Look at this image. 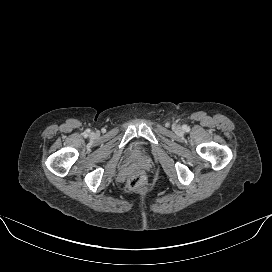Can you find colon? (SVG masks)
I'll return each mask as SVG.
<instances>
[{"label": "colon", "mask_w": 272, "mask_h": 272, "mask_svg": "<svg viewBox=\"0 0 272 272\" xmlns=\"http://www.w3.org/2000/svg\"><path fill=\"white\" fill-rule=\"evenodd\" d=\"M146 184V176L142 171L133 172L127 182L128 187L132 190H142Z\"/></svg>", "instance_id": "obj_1"}]
</instances>
